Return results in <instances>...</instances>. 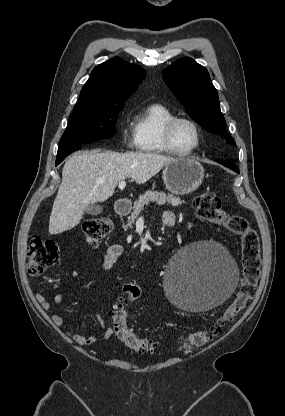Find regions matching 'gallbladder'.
Wrapping results in <instances>:
<instances>
[{
  "label": "gallbladder",
  "instance_id": "bac80fb5",
  "mask_svg": "<svg viewBox=\"0 0 285 416\" xmlns=\"http://www.w3.org/2000/svg\"><path fill=\"white\" fill-rule=\"evenodd\" d=\"M101 212H103V208L99 204H89L85 210V214H90V216H98Z\"/></svg>",
  "mask_w": 285,
  "mask_h": 416
}]
</instances>
